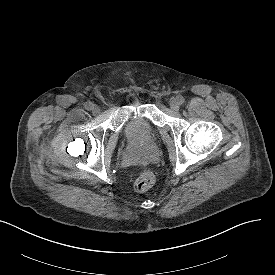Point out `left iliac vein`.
I'll use <instances>...</instances> for the list:
<instances>
[{"label": "left iliac vein", "instance_id": "left-iliac-vein-1", "mask_svg": "<svg viewBox=\"0 0 275 275\" xmlns=\"http://www.w3.org/2000/svg\"><path fill=\"white\" fill-rule=\"evenodd\" d=\"M179 101L177 98H171L170 99V106L173 110L178 111L179 110Z\"/></svg>", "mask_w": 275, "mask_h": 275}]
</instances>
